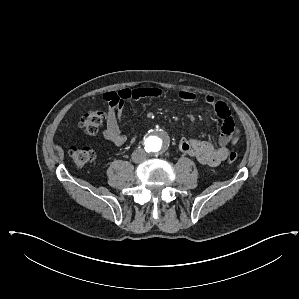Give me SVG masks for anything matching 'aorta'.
<instances>
[{"label":"aorta","mask_w":299,"mask_h":299,"mask_svg":"<svg viewBox=\"0 0 299 299\" xmlns=\"http://www.w3.org/2000/svg\"><path fill=\"white\" fill-rule=\"evenodd\" d=\"M166 145L167 137L160 131L150 133L144 140L145 149L152 155L161 153Z\"/></svg>","instance_id":"762f6f07"}]
</instances>
